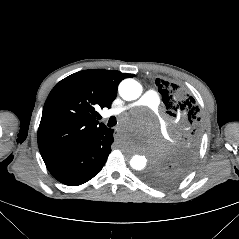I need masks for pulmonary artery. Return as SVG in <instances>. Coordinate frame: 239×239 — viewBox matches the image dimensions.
Listing matches in <instances>:
<instances>
[{
    "label": "pulmonary artery",
    "instance_id": "1",
    "mask_svg": "<svg viewBox=\"0 0 239 239\" xmlns=\"http://www.w3.org/2000/svg\"><path fill=\"white\" fill-rule=\"evenodd\" d=\"M159 104H160V98H159V95L157 94V92H155L154 90H148L135 103L130 104L125 107L112 109L108 112V115L109 116L119 115V114H121L131 108H134V107H147L151 110H157Z\"/></svg>",
    "mask_w": 239,
    "mask_h": 239
}]
</instances>
